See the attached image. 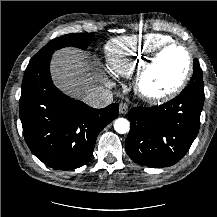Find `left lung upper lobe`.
I'll use <instances>...</instances> for the list:
<instances>
[{
  "instance_id": "1",
  "label": "left lung upper lobe",
  "mask_w": 217,
  "mask_h": 217,
  "mask_svg": "<svg viewBox=\"0 0 217 217\" xmlns=\"http://www.w3.org/2000/svg\"><path fill=\"white\" fill-rule=\"evenodd\" d=\"M193 70L194 73L189 84H193L204 90L203 73L197 59H194Z\"/></svg>"
}]
</instances>
